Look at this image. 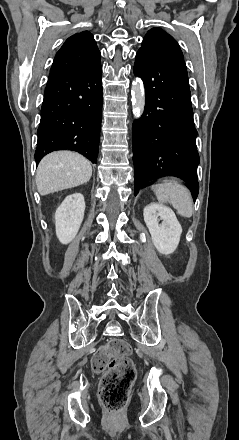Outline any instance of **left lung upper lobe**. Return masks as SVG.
<instances>
[{
	"mask_svg": "<svg viewBox=\"0 0 239 440\" xmlns=\"http://www.w3.org/2000/svg\"><path fill=\"white\" fill-rule=\"evenodd\" d=\"M139 51L158 57L184 59L175 39L160 28H152L147 32Z\"/></svg>",
	"mask_w": 239,
	"mask_h": 440,
	"instance_id": "5c2ea615",
	"label": "left lung upper lobe"
}]
</instances>
